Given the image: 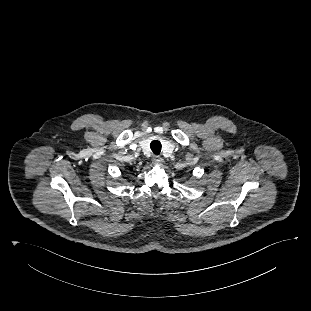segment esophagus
Returning a JSON list of instances; mask_svg holds the SVG:
<instances>
[{
	"label": "esophagus",
	"mask_w": 311,
	"mask_h": 311,
	"mask_svg": "<svg viewBox=\"0 0 311 311\" xmlns=\"http://www.w3.org/2000/svg\"><path fill=\"white\" fill-rule=\"evenodd\" d=\"M152 162L155 166H162L164 163L163 159L159 156H154Z\"/></svg>",
	"instance_id": "esophagus-1"
}]
</instances>
